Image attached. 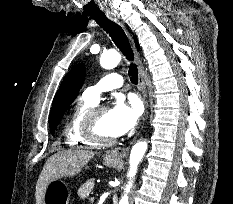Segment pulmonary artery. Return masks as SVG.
Returning a JSON list of instances; mask_svg holds the SVG:
<instances>
[{"label":"pulmonary artery","instance_id":"e3ab8cb5","mask_svg":"<svg viewBox=\"0 0 233 204\" xmlns=\"http://www.w3.org/2000/svg\"><path fill=\"white\" fill-rule=\"evenodd\" d=\"M123 85V78L119 74L111 73L104 76L96 85L88 87L83 97L90 101L97 103L99 101L101 93L112 89L120 88Z\"/></svg>","mask_w":233,"mask_h":204}]
</instances>
